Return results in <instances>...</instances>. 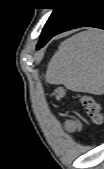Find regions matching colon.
Instances as JSON below:
<instances>
[{"label": "colon", "instance_id": "colon-1", "mask_svg": "<svg viewBox=\"0 0 104 169\" xmlns=\"http://www.w3.org/2000/svg\"><path fill=\"white\" fill-rule=\"evenodd\" d=\"M56 94L57 98H61L64 95V88H57ZM81 104L84 107L86 113L96 124H100L102 122L101 107L92 96L84 95L81 98Z\"/></svg>", "mask_w": 104, "mask_h": 169}]
</instances>
